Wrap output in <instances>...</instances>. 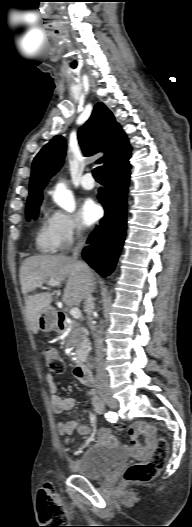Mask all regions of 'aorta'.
Here are the masks:
<instances>
[{"mask_svg":"<svg viewBox=\"0 0 192 527\" xmlns=\"http://www.w3.org/2000/svg\"><path fill=\"white\" fill-rule=\"evenodd\" d=\"M53 198L56 204L67 212H73L76 208L73 193L63 182L56 185Z\"/></svg>","mask_w":192,"mask_h":527,"instance_id":"762f6f07","label":"aorta"}]
</instances>
